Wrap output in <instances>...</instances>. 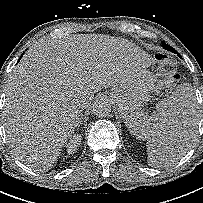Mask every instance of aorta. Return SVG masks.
<instances>
[{"instance_id":"1","label":"aorta","mask_w":203,"mask_h":203,"mask_svg":"<svg viewBox=\"0 0 203 203\" xmlns=\"http://www.w3.org/2000/svg\"><path fill=\"white\" fill-rule=\"evenodd\" d=\"M93 111L98 117H106L111 112V104L107 100H99L94 104Z\"/></svg>"}]
</instances>
